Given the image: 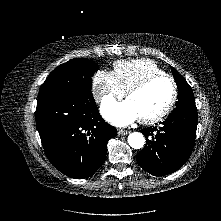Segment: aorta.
<instances>
[{
	"instance_id": "762f6f07",
	"label": "aorta",
	"mask_w": 221,
	"mask_h": 221,
	"mask_svg": "<svg viewBox=\"0 0 221 221\" xmlns=\"http://www.w3.org/2000/svg\"><path fill=\"white\" fill-rule=\"evenodd\" d=\"M128 143L134 149H140L145 144V138L142 133L133 132L128 136Z\"/></svg>"
}]
</instances>
